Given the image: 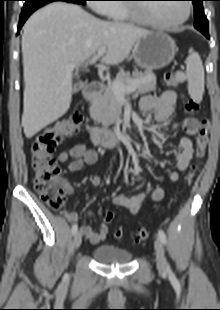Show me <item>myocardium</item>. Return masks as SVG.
<instances>
[{
    "mask_svg": "<svg viewBox=\"0 0 220 310\" xmlns=\"http://www.w3.org/2000/svg\"><path fill=\"white\" fill-rule=\"evenodd\" d=\"M127 9L131 18L135 21L164 30L173 29L184 24L189 19L191 14V5L189 4V2H185V14L177 21L171 23L162 22L150 15L143 17L141 16L143 11L134 5H129Z\"/></svg>",
    "mask_w": 220,
    "mask_h": 310,
    "instance_id": "1",
    "label": "myocardium"
}]
</instances>
